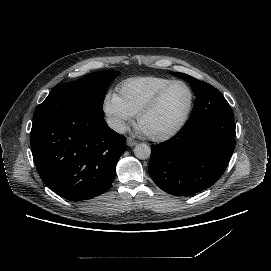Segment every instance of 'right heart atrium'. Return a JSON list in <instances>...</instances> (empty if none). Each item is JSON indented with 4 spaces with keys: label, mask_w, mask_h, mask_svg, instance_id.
Listing matches in <instances>:
<instances>
[{
    "label": "right heart atrium",
    "mask_w": 271,
    "mask_h": 271,
    "mask_svg": "<svg viewBox=\"0 0 271 271\" xmlns=\"http://www.w3.org/2000/svg\"><path fill=\"white\" fill-rule=\"evenodd\" d=\"M102 106L105 114L109 117L112 126L116 130H124L127 124L131 122L133 116L125 108L119 95L115 92L108 91L105 94Z\"/></svg>",
    "instance_id": "1"
}]
</instances>
